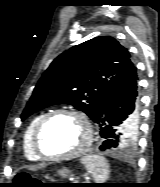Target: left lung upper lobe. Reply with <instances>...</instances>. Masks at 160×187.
I'll return each instance as SVG.
<instances>
[{
	"label": "left lung upper lobe",
	"instance_id": "1",
	"mask_svg": "<svg viewBox=\"0 0 160 187\" xmlns=\"http://www.w3.org/2000/svg\"><path fill=\"white\" fill-rule=\"evenodd\" d=\"M133 68L128 50L112 37L100 36L76 45L54 59L44 72L21 119L51 105L70 104L94 121L104 98ZM137 131L138 124L121 144L134 141Z\"/></svg>",
	"mask_w": 160,
	"mask_h": 187
}]
</instances>
